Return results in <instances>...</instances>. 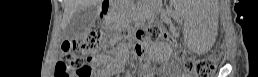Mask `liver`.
Wrapping results in <instances>:
<instances>
[{"instance_id": "1", "label": "liver", "mask_w": 258, "mask_h": 77, "mask_svg": "<svg viewBox=\"0 0 258 77\" xmlns=\"http://www.w3.org/2000/svg\"><path fill=\"white\" fill-rule=\"evenodd\" d=\"M101 0H64L63 25L67 27L71 18L80 8L97 5Z\"/></svg>"}]
</instances>
